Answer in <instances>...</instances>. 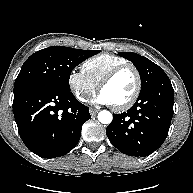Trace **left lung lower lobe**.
Segmentation results:
<instances>
[{
  "instance_id": "0a47b994",
  "label": "left lung lower lobe",
  "mask_w": 193,
  "mask_h": 193,
  "mask_svg": "<svg viewBox=\"0 0 193 193\" xmlns=\"http://www.w3.org/2000/svg\"><path fill=\"white\" fill-rule=\"evenodd\" d=\"M174 90L163 76L140 92L136 103L121 114H113L106 128L110 142L126 155L145 157L165 141L173 116Z\"/></svg>"
}]
</instances>
